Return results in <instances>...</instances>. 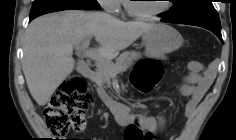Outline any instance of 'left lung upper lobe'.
<instances>
[{
  "label": "left lung upper lobe",
  "instance_id": "1",
  "mask_svg": "<svg viewBox=\"0 0 236 140\" xmlns=\"http://www.w3.org/2000/svg\"><path fill=\"white\" fill-rule=\"evenodd\" d=\"M173 7L164 13L169 22L193 24L221 30L220 19L212 0H172Z\"/></svg>",
  "mask_w": 236,
  "mask_h": 140
}]
</instances>
